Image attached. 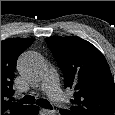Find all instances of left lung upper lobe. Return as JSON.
I'll list each match as a JSON object with an SVG mask.
<instances>
[{"mask_svg":"<svg viewBox=\"0 0 115 115\" xmlns=\"http://www.w3.org/2000/svg\"><path fill=\"white\" fill-rule=\"evenodd\" d=\"M46 42L64 73V86L74 91L70 115H114L115 84L102 53L75 36L47 37Z\"/></svg>","mask_w":115,"mask_h":115,"instance_id":"5c2ea615","label":"left lung upper lobe"}]
</instances>
